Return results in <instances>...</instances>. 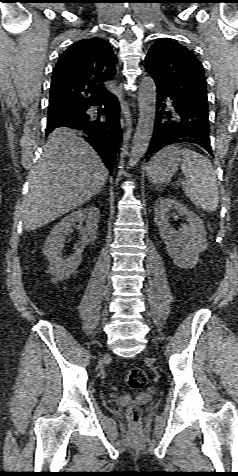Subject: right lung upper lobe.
Instances as JSON below:
<instances>
[{"instance_id":"obj_1","label":"right lung upper lobe","mask_w":238,"mask_h":476,"mask_svg":"<svg viewBox=\"0 0 238 476\" xmlns=\"http://www.w3.org/2000/svg\"><path fill=\"white\" fill-rule=\"evenodd\" d=\"M116 62L108 42L98 37L71 45L53 70L49 107L88 108L108 95L103 81L116 74Z\"/></svg>"}]
</instances>
